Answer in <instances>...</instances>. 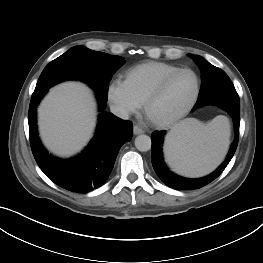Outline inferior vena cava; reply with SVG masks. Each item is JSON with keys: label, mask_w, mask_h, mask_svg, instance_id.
Listing matches in <instances>:
<instances>
[{"label": "inferior vena cava", "mask_w": 263, "mask_h": 263, "mask_svg": "<svg viewBox=\"0 0 263 263\" xmlns=\"http://www.w3.org/2000/svg\"><path fill=\"white\" fill-rule=\"evenodd\" d=\"M110 111L121 119L127 120L129 118L128 112L120 106L112 105Z\"/></svg>", "instance_id": "602c4592"}]
</instances>
